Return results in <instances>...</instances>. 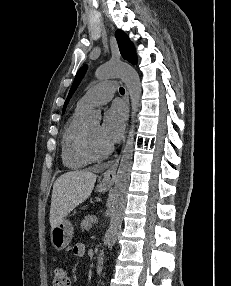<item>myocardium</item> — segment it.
<instances>
[{"label":"myocardium","mask_w":231,"mask_h":286,"mask_svg":"<svg viewBox=\"0 0 231 286\" xmlns=\"http://www.w3.org/2000/svg\"><path fill=\"white\" fill-rule=\"evenodd\" d=\"M79 149L84 158L89 162H98L106 159L112 152V147L109 146L104 152L96 153L91 146L86 125L83 126L80 135Z\"/></svg>","instance_id":"1"}]
</instances>
